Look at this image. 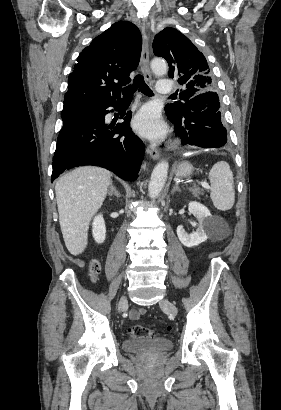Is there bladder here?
Returning <instances> with one entry per match:
<instances>
[{"label": "bladder", "mask_w": 281, "mask_h": 410, "mask_svg": "<svg viewBox=\"0 0 281 410\" xmlns=\"http://www.w3.org/2000/svg\"><path fill=\"white\" fill-rule=\"evenodd\" d=\"M123 348L128 353L159 355L170 351L173 348V344L166 339L131 338L124 341Z\"/></svg>", "instance_id": "obj_1"}]
</instances>
